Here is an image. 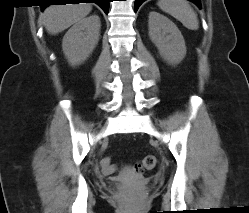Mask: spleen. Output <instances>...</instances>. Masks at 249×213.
<instances>
[{
  "instance_id": "1",
  "label": "spleen",
  "mask_w": 249,
  "mask_h": 213,
  "mask_svg": "<svg viewBox=\"0 0 249 213\" xmlns=\"http://www.w3.org/2000/svg\"><path fill=\"white\" fill-rule=\"evenodd\" d=\"M158 6L166 13L178 19L186 28L197 30V14L186 0H159Z\"/></svg>"
}]
</instances>
